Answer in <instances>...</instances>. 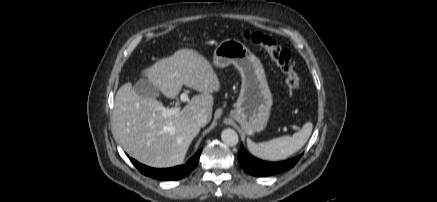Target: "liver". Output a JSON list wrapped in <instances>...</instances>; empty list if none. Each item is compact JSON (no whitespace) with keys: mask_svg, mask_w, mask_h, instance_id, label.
<instances>
[{"mask_svg":"<svg viewBox=\"0 0 437 202\" xmlns=\"http://www.w3.org/2000/svg\"><path fill=\"white\" fill-rule=\"evenodd\" d=\"M167 98L174 99L182 86L201 94L195 95L177 114L163 116V104L143 97L130 82L116 93L113 110L114 130L123 149L137 161L157 168L173 167L184 160L200 126L199 113L212 117L214 92L220 81L210 62L190 48H181L141 71Z\"/></svg>","mask_w":437,"mask_h":202,"instance_id":"obj_1","label":"liver"}]
</instances>
